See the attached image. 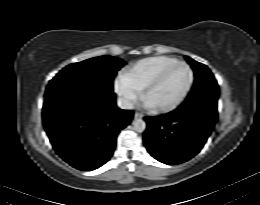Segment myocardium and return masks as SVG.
<instances>
[{"instance_id": "myocardium-1", "label": "myocardium", "mask_w": 260, "mask_h": 205, "mask_svg": "<svg viewBox=\"0 0 260 205\" xmlns=\"http://www.w3.org/2000/svg\"><path fill=\"white\" fill-rule=\"evenodd\" d=\"M175 66H184L188 69L189 74H190V79L188 82L187 87L185 88V90L183 91V93L172 103L167 104V105H162V106H153L154 109L158 112H169L172 111L174 109H176L177 107H179L187 98V96L189 95L190 91L192 90V87L194 85L195 82V73L194 70L192 69V67L184 62V61H177L174 62L172 64L167 65L166 67L162 68L160 71H158L156 73V75L145 85V87L143 88V93H142V98L143 100L146 101L147 98V94L149 93V91L158 83L161 81V79L164 77V75L173 67Z\"/></svg>"}]
</instances>
